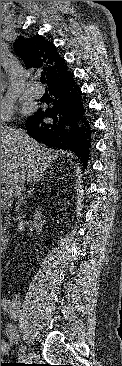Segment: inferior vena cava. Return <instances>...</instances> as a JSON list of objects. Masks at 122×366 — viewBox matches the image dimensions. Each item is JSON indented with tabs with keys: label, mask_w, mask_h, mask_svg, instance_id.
<instances>
[{
	"label": "inferior vena cava",
	"mask_w": 122,
	"mask_h": 366,
	"mask_svg": "<svg viewBox=\"0 0 122 366\" xmlns=\"http://www.w3.org/2000/svg\"><path fill=\"white\" fill-rule=\"evenodd\" d=\"M25 180L23 179V181L21 182V184H19V186H17V190H16V197L18 199L17 203H16V212L18 213V219H20V207L21 205L25 202ZM21 223V222H20Z\"/></svg>",
	"instance_id": "602c4592"
}]
</instances>
